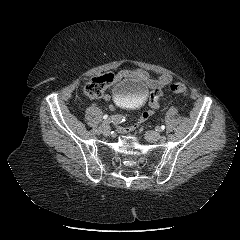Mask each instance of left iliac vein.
<instances>
[{
  "instance_id": "4c4485c4",
  "label": "left iliac vein",
  "mask_w": 240,
  "mask_h": 240,
  "mask_svg": "<svg viewBox=\"0 0 240 240\" xmlns=\"http://www.w3.org/2000/svg\"><path fill=\"white\" fill-rule=\"evenodd\" d=\"M159 133L153 132V131H147L145 133V138L149 141V142H156L158 140H160L159 138ZM166 139V138H165ZM162 141V140H161ZM164 141V140H163Z\"/></svg>"
}]
</instances>
